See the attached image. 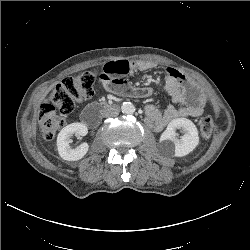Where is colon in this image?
Masks as SVG:
<instances>
[{
    "mask_svg": "<svg viewBox=\"0 0 250 250\" xmlns=\"http://www.w3.org/2000/svg\"><path fill=\"white\" fill-rule=\"evenodd\" d=\"M95 77L90 72L67 77L60 81L41 105L38 113L39 125L43 138L52 140L57 131L65 124V116L70 114L83 100L94 95ZM215 122L211 117H204L199 123L200 135L211 137Z\"/></svg>",
    "mask_w": 250,
    "mask_h": 250,
    "instance_id": "1",
    "label": "colon"
}]
</instances>
